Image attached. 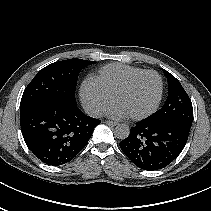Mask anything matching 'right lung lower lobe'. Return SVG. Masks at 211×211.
I'll return each instance as SVG.
<instances>
[{
  "label": "right lung lower lobe",
  "mask_w": 211,
  "mask_h": 211,
  "mask_svg": "<svg viewBox=\"0 0 211 211\" xmlns=\"http://www.w3.org/2000/svg\"><path fill=\"white\" fill-rule=\"evenodd\" d=\"M26 145L42 162H70L88 143L100 120L86 116L76 105L45 103L20 110Z\"/></svg>",
  "instance_id": "98d812e1"
}]
</instances>
